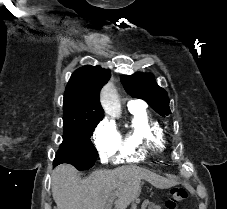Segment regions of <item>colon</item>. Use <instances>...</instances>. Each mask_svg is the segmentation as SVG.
<instances>
[{
  "mask_svg": "<svg viewBox=\"0 0 227 209\" xmlns=\"http://www.w3.org/2000/svg\"><path fill=\"white\" fill-rule=\"evenodd\" d=\"M188 197V192L181 187H173L170 189L168 198L165 201L166 209H177L178 204L185 201Z\"/></svg>",
  "mask_w": 227,
  "mask_h": 209,
  "instance_id": "colon-1",
  "label": "colon"
}]
</instances>
